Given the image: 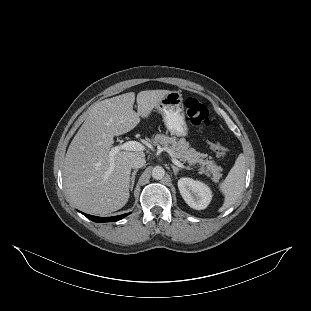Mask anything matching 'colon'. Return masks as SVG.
I'll return each mask as SVG.
<instances>
[{"label": "colon", "mask_w": 311, "mask_h": 311, "mask_svg": "<svg viewBox=\"0 0 311 311\" xmlns=\"http://www.w3.org/2000/svg\"><path fill=\"white\" fill-rule=\"evenodd\" d=\"M185 110L190 121L199 128H208L210 125L209 111L205 104L193 97H188L184 101ZM210 148L216 157L224 160L227 155L226 148L217 141H210Z\"/></svg>", "instance_id": "obj_1"}]
</instances>
